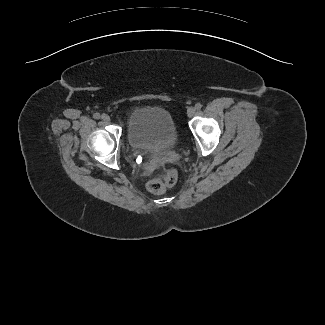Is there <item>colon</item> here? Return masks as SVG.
Here are the masks:
<instances>
[{
    "label": "colon",
    "mask_w": 325,
    "mask_h": 325,
    "mask_svg": "<svg viewBox=\"0 0 325 325\" xmlns=\"http://www.w3.org/2000/svg\"><path fill=\"white\" fill-rule=\"evenodd\" d=\"M178 179L177 170L170 168L167 170L166 175L163 179H150L146 183V188L148 191L155 194L165 193L168 189L172 188Z\"/></svg>",
    "instance_id": "colon-1"
}]
</instances>
